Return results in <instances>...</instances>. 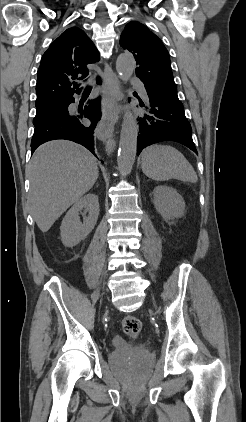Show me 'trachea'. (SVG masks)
<instances>
[{
	"instance_id": "trachea-1",
	"label": "trachea",
	"mask_w": 246,
	"mask_h": 422,
	"mask_svg": "<svg viewBox=\"0 0 246 422\" xmlns=\"http://www.w3.org/2000/svg\"><path fill=\"white\" fill-rule=\"evenodd\" d=\"M86 89H87V90L91 89V86H87V87H86Z\"/></svg>"
}]
</instances>
